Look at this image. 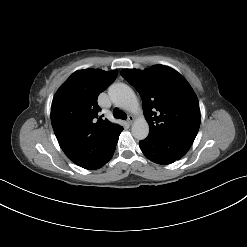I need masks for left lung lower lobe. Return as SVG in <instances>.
<instances>
[{
  "instance_id": "left-lung-lower-lobe-1",
  "label": "left lung lower lobe",
  "mask_w": 247,
  "mask_h": 247,
  "mask_svg": "<svg viewBox=\"0 0 247 247\" xmlns=\"http://www.w3.org/2000/svg\"><path fill=\"white\" fill-rule=\"evenodd\" d=\"M143 154L152 162L166 165L181 159L190 147L166 143L147 137L139 142Z\"/></svg>"
}]
</instances>
